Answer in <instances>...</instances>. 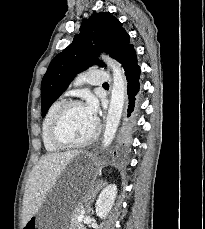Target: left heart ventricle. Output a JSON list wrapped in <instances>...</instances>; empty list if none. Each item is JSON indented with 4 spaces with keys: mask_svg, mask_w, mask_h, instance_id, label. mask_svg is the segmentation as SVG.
<instances>
[{
    "mask_svg": "<svg viewBox=\"0 0 205 229\" xmlns=\"http://www.w3.org/2000/svg\"><path fill=\"white\" fill-rule=\"evenodd\" d=\"M95 128V120L84 106L70 108L64 115L58 135L64 141L77 142L87 138Z\"/></svg>",
    "mask_w": 205,
    "mask_h": 229,
    "instance_id": "b2bd125f",
    "label": "left heart ventricle"
}]
</instances>
